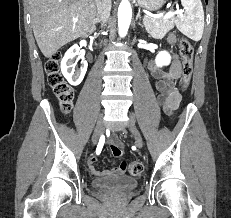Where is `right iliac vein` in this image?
Listing matches in <instances>:
<instances>
[{
  "label": "right iliac vein",
  "instance_id": "obj_1",
  "mask_svg": "<svg viewBox=\"0 0 231 218\" xmlns=\"http://www.w3.org/2000/svg\"><path fill=\"white\" fill-rule=\"evenodd\" d=\"M103 130H104L103 121L99 120L97 125H96L93 136H92V142L94 145L97 144L98 140L100 139V137L103 133Z\"/></svg>",
  "mask_w": 231,
  "mask_h": 218
}]
</instances>
